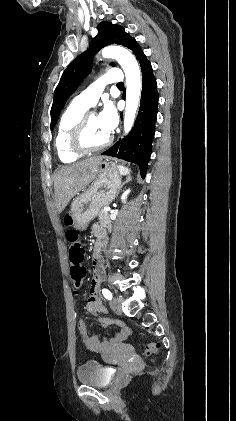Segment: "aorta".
<instances>
[{
  "instance_id": "obj_1",
  "label": "aorta",
  "mask_w": 236,
  "mask_h": 421,
  "mask_svg": "<svg viewBox=\"0 0 236 421\" xmlns=\"http://www.w3.org/2000/svg\"><path fill=\"white\" fill-rule=\"evenodd\" d=\"M104 58H116L121 64L126 78V106L124 114V130L129 132L131 130L136 110L139 106L140 92H141V72L138 62L127 48L122 46H105L102 50Z\"/></svg>"
}]
</instances>
